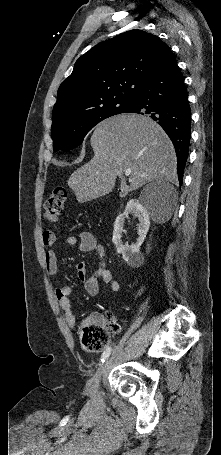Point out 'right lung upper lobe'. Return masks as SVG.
<instances>
[{
  "mask_svg": "<svg viewBox=\"0 0 221 455\" xmlns=\"http://www.w3.org/2000/svg\"><path fill=\"white\" fill-rule=\"evenodd\" d=\"M169 52L157 36L142 30L97 44L76 61L72 74L60 85L52 121L106 100H132Z\"/></svg>",
  "mask_w": 221,
  "mask_h": 455,
  "instance_id": "obj_1",
  "label": "right lung upper lobe"
}]
</instances>
